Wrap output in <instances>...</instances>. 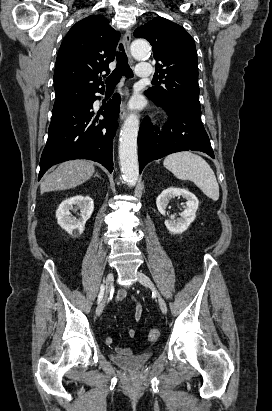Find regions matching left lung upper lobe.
I'll list each match as a JSON object with an SVG mask.
<instances>
[{
	"label": "left lung upper lobe",
	"instance_id": "5c2ea615",
	"mask_svg": "<svg viewBox=\"0 0 272 411\" xmlns=\"http://www.w3.org/2000/svg\"><path fill=\"white\" fill-rule=\"evenodd\" d=\"M134 36L152 44L156 60L155 74L161 81L158 86L145 92L147 97L177 111L201 115L193 38L183 27L162 17L138 27Z\"/></svg>",
	"mask_w": 272,
	"mask_h": 411
}]
</instances>
